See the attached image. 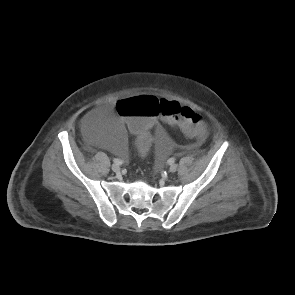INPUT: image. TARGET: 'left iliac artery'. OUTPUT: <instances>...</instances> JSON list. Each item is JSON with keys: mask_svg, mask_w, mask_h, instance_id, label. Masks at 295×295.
Returning a JSON list of instances; mask_svg holds the SVG:
<instances>
[{"mask_svg": "<svg viewBox=\"0 0 295 295\" xmlns=\"http://www.w3.org/2000/svg\"><path fill=\"white\" fill-rule=\"evenodd\" d=\"M175 163V158H170L168 159V164H174Z\"/></svg>", "mask_w": 295, "mask_h": 295, "instance_id": "left-iliac-artery-1", "label": "left iliac artery"}]
</instances>
